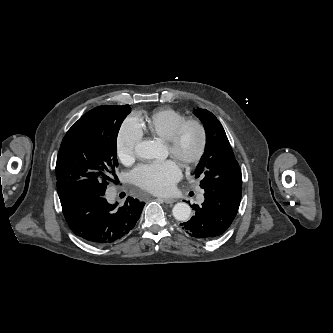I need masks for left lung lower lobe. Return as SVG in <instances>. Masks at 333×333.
<instances>
[{"mask_svg":"<svg viewBox=\"0 0 333 333\" xmlns=\"http://www.w3.org/2000/svg\"><path fill=\"white\" fill-rule=\"evenodd\" d=\"M203 189L204 202L192 205L195 215L181 226L192 237L209 239L229 228L238 212L242 190Z\"/></svg>","mask_w":333,"mask_h":333,"instance_id":"1","label":"left lung lower lobe"}]
</instances>
